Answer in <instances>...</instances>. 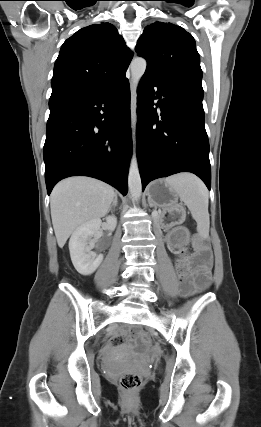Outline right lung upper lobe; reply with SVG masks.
<instances>
[{"mask_svg":"<svg viewBox=\"0 0 261 427\" xmlns=\"http://www.w3.org/2000/svg\"><path fill=\"white\" fill-rule=\"evenodd\" d=\"M131 58L132 53L112 24L80 29L63 43L55 61L50 109L117 84L125 78Z\"/></svg>","mask_w":261,"mask_h":427,"instance_id":"right-lung-upper-lobe-1","label":"right lung upper lobe"}]
</instances>
